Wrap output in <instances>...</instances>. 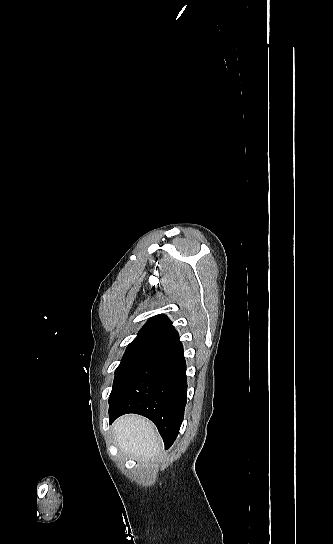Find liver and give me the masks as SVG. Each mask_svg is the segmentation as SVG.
<instances>
[{
  "label": "liver",
  "mask_w": 333,
  "mask_h": 544,
  "mask_svg": "<svg viewBox=\"0 0 333 544\" xmlns=\"http://www.w3.org/2000/svg\"><path fill=\"white\" fill-rule=\"evenodd\" d=\"M117 444L123 453L147 460L159 455L161 440L154 425L133 414L124 415L114 423Z\"/></svg>",
  "instance_id": "liver-1"
}]
</instances>
